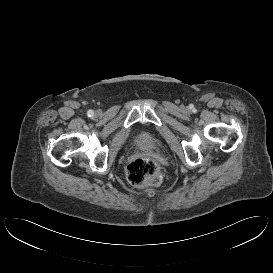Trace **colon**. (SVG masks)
Instances as JSON below:
<instances>
[{
    "mask_svg": "<svg viewBox=\"0 0 273 273\" xmlns=\"http://www.w3.org/2000/svg\"><path fill=\"white\" fill-rule=\"evenodd\" d=\"M125 175L128 182L135 187L158 186L162 182L159 165L146 157L131 161L126 166Z\"/></svg>",
    "mask_w": 273,
    "mask_h": 273,
    "instance_id": "colon-1",
    "label": "colon"
}]
</instances>
